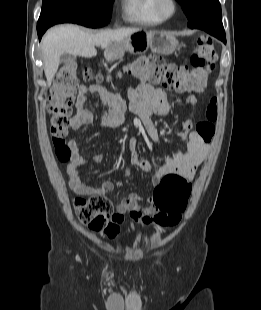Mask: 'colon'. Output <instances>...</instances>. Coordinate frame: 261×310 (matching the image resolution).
I'll return each mask as SVG.
<instances>
[{
    "mask_svg": "<svg viewBox=\"0 0 261 310\" xmlns=\"http://www.w3.org/2000/svg\"><path fill=\"white\" fill-rule=\"evenodd\" d=\"M191 68L166 63L161 57L150 55L128 66V71L150 83H159L164 89L174 92L202 93L208 83L209 74L216 65V50L207 36L198 38L191 55ZM84 80H100L90 68L79 70L73 61L62 64L55 81L50 99V131L57 158L66 162L70 158V149L65 137L68 132L75 89L79 76ZM216 100H212L206 110V120L196 124V131L205 140H211L215 133L214 122L217 119ZM191 193V184L178 173L165 175L156 187L152 202L159 209L154 223L161 227H174L182 219ZM75 212L79 221L96 232L114 237L121 218L113 212V205L105 195L94 194L75 200Z\"/></svg>",
    "mask_w": 261,
    "mask_h": 310,
    "instance_id": "obj_1",
    "label": "colon"
}]
</instances>
